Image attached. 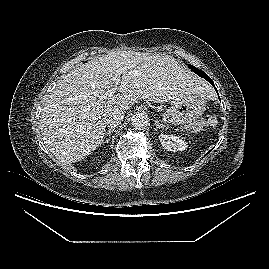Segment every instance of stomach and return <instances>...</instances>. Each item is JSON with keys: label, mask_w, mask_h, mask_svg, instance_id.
<instances>
[{"label": "stomach", "mask_w": 269, "mask_h": 269, "mask_svg": "<svg viewBox=\"0 0 269 269\" xmlns=\"http://www.w3.org/2000/svg\"><path fill=\"white\" fill-rule=\"evenodd\" d=\"M206 98L192 93L175 98L171 101L164 119L172 125H185L199 119L205 111Z\"/></svg>", "instance_id": "1"}]
</instances>
